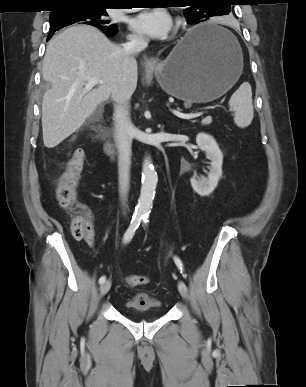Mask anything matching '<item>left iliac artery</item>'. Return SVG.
<instances>
[{
    "label": "left iliac artery",
    "mask_w": 306,
    "mask_h": 387,
    "mask_svg": "<svg viewBox=\"0 0 306 387\" xmlns=\"http://www.w3.org/2000/svg\"><path fill=\"white\" fill-rule=\"evenodd\" d=\"M143 222H144V225L147 226L148 219L144 218ZM174 262H175L176 266L178 267V269L181 271V273H183V271H184L183 264H182L181 260L177 256H174Z\"/></svg>",
    "instance_id": "left-iliac-artery-1"
}]
</instances>
